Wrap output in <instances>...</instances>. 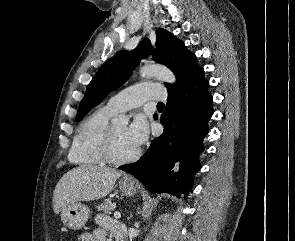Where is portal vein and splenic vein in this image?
<instances>
[{"label":"portal vein and splenic vein","instance_id":"portal-vein-and-splenic-vein-1","mask_svg":"<svg viewBox=\"0 0 295 241\" xmlns=\"http://www.w3.org/2000/svg\"><path fill=\"white\" fill-rule=\"evenodd\" d=\"M114 217L117 218V219L121 218L120 212H115Z\"/></svg>","mask_w":295,"mask_h":241}]
</instances>
